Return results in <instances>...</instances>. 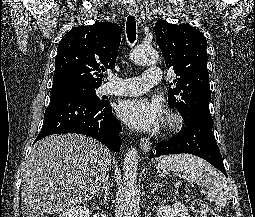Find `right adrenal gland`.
<instances>
[{"label":"right adrenal gland","instance_id":"right-adrenal-gland-1","mask_svg":"<svg viewBox=\"0 0 255 217\" xmlns=\"http://www.w3.org/2000/svg\"><path fill=\"white\" fill-rule=\"evenodd\" d=\"M109 190H110L109 175H107L103 180V187L98 190L103 192V197L105 201L109 198L110 192Z\"/></svg>","mask_w":255,"mask_h":217}]
</instances>
